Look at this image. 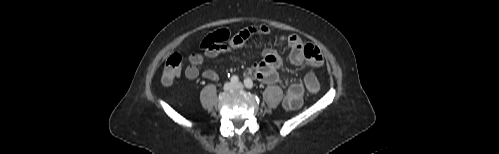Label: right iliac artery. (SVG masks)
Returning a JSON list of instances; mask_svg holds the SVG:
<instances>
[{
  "mask_svg": "<svg viewBox=\"0 0 499 154\" xmlns=\"http://www.w3.org/2000/svg\"><path fill=\"white\" fill-rule=\"evenodd\" d=\"M238 81H239L238 76L234 75V76L231 77V82L232 83H238Z\"/></svg>",
  "mask_w": 499,
  "mask_h": 154,
  "instance_id": "obj_1",
  "label": "right iliac artery"
}]
</instances>
